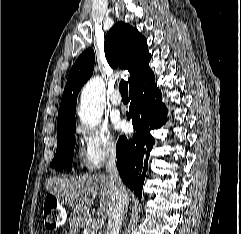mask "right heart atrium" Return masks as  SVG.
I'll return each mask as SVG.
<instances>
[{"instance_id":"right-heart-atrium-1","label":"right heart atrium","mask_w":241,"mask_h":234,"mask_svg":"<svg viewBox=\"0 0 241 234\" xmlns=\"http://www.w3.org/2000/svg\"><path fill=\"white\" fill-rule=\"evenodd\" d=\"M83 146V162L89 170L99 169L117 154V142L106 126L79 125L76 128Z\"/></svg>"}]
</instances>
